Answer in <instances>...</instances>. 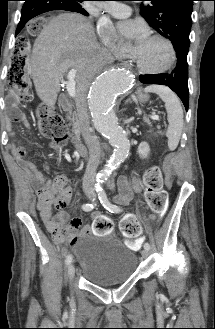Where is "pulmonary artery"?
<instances>
[{
	"label": "pulmonary artery",
	"instance_id": "1",
	"mask_svg": "<svg viewBox=\"0 0 215 329\" xmlns=\"http://www.w3.org/2000/svg\"><path fill=\"white\" fill-rule=\"evenodd\" d=\"M99 7L103 8L106 12L116 18H125L131 14V7L123 3L112 2L105 5H99Z\"/></svg>",
	"mask_w": 215,
	"mask_h": 329
}]
</instances>
